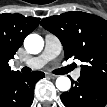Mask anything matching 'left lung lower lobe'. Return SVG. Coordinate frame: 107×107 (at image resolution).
Returning <instances> with one entry per match:
<instances>
[{
    "mask_svg": "<svg viewBox=\"0 0 107 107\" xmlns=\"http://www.w3.org/2000/svg\"><path fill=\"white\" fill-rule=\"evenodd\" d=\"M69 92L61 94L66 107H105L107 105V84L78 78Z\"/></svg>",
    "mask_w": 107,
    "mask_h": 107,
    "instance_id": "0a47b994",
    "label": "left lung lower lobe"
}]
</instances>
